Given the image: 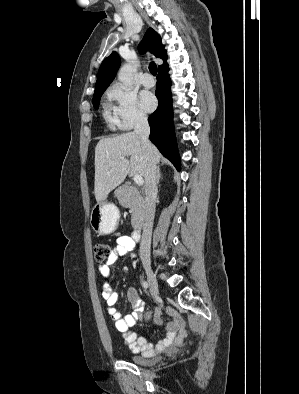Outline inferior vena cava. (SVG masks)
Here are the masks:
<instances>
[{"label": "inferior vena cava", "instance_id": "602c4592", "mask_svg": "<svg viewBox=\"0 0 299 394\" xmlns=\"http://www.w3.org/2000/svg\"><path fill=\"white\" fill-rule=\"evenodd\" d=\"M134 133L140 138L145 152V223L140 243V257L143 264H150L151 236L157 197V167L153 157L152 144L149 141L150 127L147 118L142 114L136 116Z\"/></svg>", "mask_w": 299, "mask_h": 394}]
</instances>
